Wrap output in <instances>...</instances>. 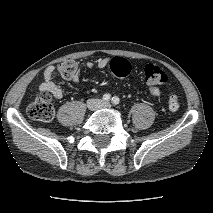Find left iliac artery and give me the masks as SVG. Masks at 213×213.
<instances>
[{
    "instance_id": "left-iliac-artery-1",
    "label": "left iliac artery",
    "mask_w": 213,
    "mask_h": 213,
    "mask_svg": "<svg viewBox=\"0 0 213 213\" xmlns=\"http://www.w3.org/2000/svg\"><path fill=\"white\" fill-rule=\"evenodd\" d=\"M112 103H113L114 105H118V104L120 103L119 97H117V96L113 97V98H112Z\"/></svg>"
}]
</instances>
